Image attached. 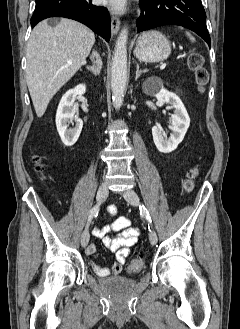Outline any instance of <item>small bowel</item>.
<instances>
[{"label":"small bowel","instance_id":"1","mask_svg":"<svg viewBox=\"0 0 240 329\" xmlns=\"http://www.w3.org/2000/svg\"><path fill=\"white\" fill-rule=\"evenodd\" d=\"M109 213L115 216L117 210L115 206L109 207ZM115 234L111 236L110 234ZM94 235L99 238L102 244L114 254V262L110 267H103L97 263H92L94 272L99 277H106L110 274L118 275L123 270L126 258L131 252V247L138 240L139 229L132 226L131 220L126 216L117 217L111 224L94 230ZM96 246L91 243L86 249V254L91 256L95 253Z\"/></svg>","mask_w":240,"mask_h":329}]
</instances>
